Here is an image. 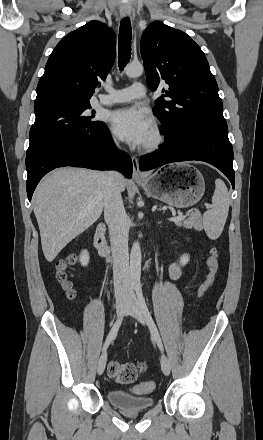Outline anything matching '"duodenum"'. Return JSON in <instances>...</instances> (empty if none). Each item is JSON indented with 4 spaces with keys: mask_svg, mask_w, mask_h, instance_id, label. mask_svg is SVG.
<instances>
[{
    "mask_svg": "<svg viewBox=\"0 0 263 440\" xmlns=\"http://www.w3.org/2000/svg\"><path fill=\"white\" fill-rule=\"evenodd\" d=\"M106 225L101 223L97 226L95 236H94V245L103 258L106 260L111 259V249L107 243L106 236Z\"/></svg>",
    "mask_w": 263,
    "mask_h": 440,
    "instance_id": "1",
    "label": "duodenum"
}]
</instances>
